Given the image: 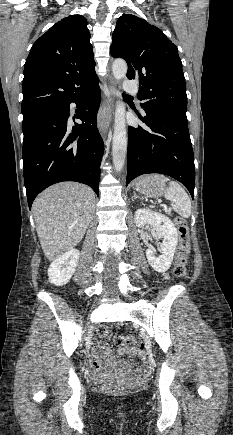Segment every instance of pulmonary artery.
<instances>
[{"label": "pulmonary artery", "mask_w": 233, "mask_h": 435, "mask_svg": "<svg viewBox=\"0 0 233 435\" xmlns=\"http://www.w3.org/2000/svg\"><path fill=\"white\" fill-rule=\"evenodd\" d=\"M124 91L133 97H137L139 94V89L133 85L131 78H124Z\"/></svg>", "instance_id": "obj_1"}]
</instances>
